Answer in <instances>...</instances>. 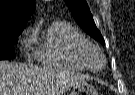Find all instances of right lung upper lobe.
I'll return each instance as SVG.
<instances>
[{
  "mask_svg": "<svg viewBox=\"0 0 135 95\" xmlns=\"http://www.w3.org/2000/svg\"><path fill=\"white\" fill-rule=\"evenodd\" d=\"M34 9V0H0V35L23 30Z\"/></svg>",
  "mask_w": 135,
  "mask_h": 95,
  "instance_id": "obj_1",
  "label": "right lung upper lobe"
}]
</instances>
